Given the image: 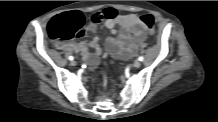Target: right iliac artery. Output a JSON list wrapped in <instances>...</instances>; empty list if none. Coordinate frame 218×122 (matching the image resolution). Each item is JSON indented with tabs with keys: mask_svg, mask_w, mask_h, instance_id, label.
I'll list each match as a JSON object with an SVG mask.
<instances>
[{
	"mask_svg": "<svg viewBox=\"0 0 218 122\" xmlns=\"http://www.w3.org/2000/svg\"><path fill=\"white\" fill-rule=\"evenodd\" d=\"M73 59H74V57H73V56H69V60H71V61H72Z\"/></svg>",
	"mask_w": 218,
	"mask_h": 122,
	"instance_id": "right-iliac-artery-1",
	"label": "right iliac artery"
}]
</instances>
